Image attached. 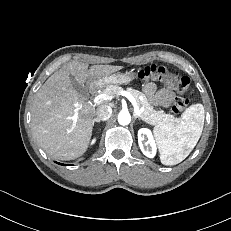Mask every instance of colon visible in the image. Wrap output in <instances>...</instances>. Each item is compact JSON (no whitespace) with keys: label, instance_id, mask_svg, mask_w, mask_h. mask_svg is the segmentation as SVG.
Listing matches in <instances>:
<instances>
[{"label":"colon","instance_id":"1","mask_svg":"<svg viewBox=\"0 0 231 231\" xmlns=\"http://www.w3.org/2000/svg\"><path fill=\"white\" fill-rule=\"evenodd\" d=\"M139 79L159 80L179 93H184L190 85L188 77H179L168 67L162 64H153L147 66L136 73ZM188 105V100L184 97H177L172 106V111L176 114L182 112Z\"/></svg>","mask_w":231,"mask_h":231}]
</instances>
